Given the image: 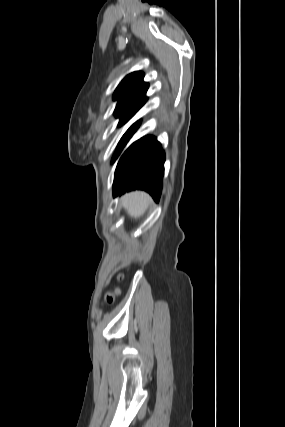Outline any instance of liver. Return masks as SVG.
<instances>
[{"mask_svg": "<svg viewBox=\"0 0 285 427\" xmlns=\"http://www.w3.org/2000/svg\"><path fill=\"white\" fill-rule=\"evenodd\" d=\"M150 202V197L141 191L128 193L121 198L122 206L132 218H139L142 216Z\"/></svg>", "mask_w": 285, "mask_h": 427, "instance_id": "obj_1", "label": "liver"}]
</instances>
